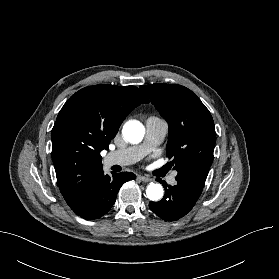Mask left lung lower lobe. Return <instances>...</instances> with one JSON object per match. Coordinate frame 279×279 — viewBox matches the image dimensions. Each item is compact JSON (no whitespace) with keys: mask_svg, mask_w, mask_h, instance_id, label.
Returning a JSON list of instances; mask_svg holds the SVG:
<instances>
[{"mask_svg":"<svg viewBox=\"0 0 279 279\" xmlns=\"http://www.w3.org/2000/svg\"><path fill=\"white\" fill-rule=\"evenodd\" d=\"M201 192L200 189L177 181L175 186L169 185L165 189L162 200L150 202L149 208L163 220H178L193 208Z\"/></svg>","mask_w":279,"mask_h":279,"instance_id":"0a47b994","label":"left lung lower lobe"}]
</instances>
